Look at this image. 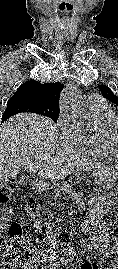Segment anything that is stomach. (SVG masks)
Masks as SVG:
<instances>
[{
    "label": "stomach",
    "mask_w": 118,
    "mask_h": 269,
    "mask_svg": "<svg viewBox=\"0 0 118 269\" xmlns=\"http://www.w3.org/2000/svg\"><path fill=\"white\" fill-rule=\"evenodd\" d=\"M96 183L102 188L104 192L113 190L115 182L118 179V171L111 166L102 165L96 168L94 172ZM118 193V187L116 189Z\"/></svg>",
    "instance_id": "0dacf381"
}]
</instances>
